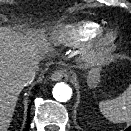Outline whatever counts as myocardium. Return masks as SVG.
Wrapping results in <instances>:
<instances>
[{"label": "myocardium", "instance_id": "obj_1", "mask_svg": "<svg viewBox=\"0 0 131 131\" xmlns=\"http://www.w3.org/2000/svg\"><path fill=\"white\" fill-rule=\"evenodd\" d=\"M118 34L114 29H103L92 39L85 53L88 62H99L105 59L115 48Z\"/></svg>", "mask_w": 131, "mask_h": 131}]
</instances>
